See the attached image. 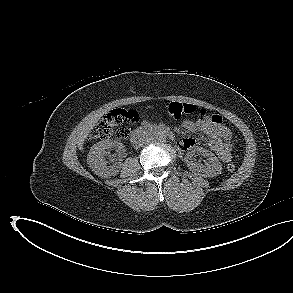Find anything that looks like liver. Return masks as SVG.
Here are the masks:
<instances>
[{"instance_id":"liver-1","label":"liver","mask_w":293,"mask_h":293,"mask_svg":"<svg viewBox=\"0 0 293 293\" xmlns=\"http://www.w3.org/2000/svg\"><path fill=\"white\" fill-rule=\"evenodd\" d=\"M108 112V109L99 110L94 114L89 115L78 134V140L77 145L79 150H83L84 141L87 139L90 131L94 128V126L97 124V122L100 120V118Z\"/></svg>"}]
</instances>
